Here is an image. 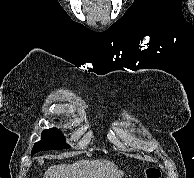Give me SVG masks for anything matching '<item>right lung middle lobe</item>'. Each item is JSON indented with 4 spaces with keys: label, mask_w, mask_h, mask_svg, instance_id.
Here are the masks:
<instances>
[{
    "label": "right lung middle lobe",
    "mask_w": 194,
    "mask_h": 178,
    "mask_svg": "<svg viewBox=\"0 0 194 178\" xmlns=\"http://www.w3.org/2000/svg\"><path fill=\"white\" fill-rule=\"evenodd\" d=\"M66 144L65 137L56 128L46 129L42 132L41 140L34 144L31 155L44 150H59L69 148Z\"/></svg>",
    "instance_id": "obj_1"
}]
</instances>
